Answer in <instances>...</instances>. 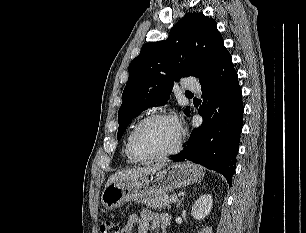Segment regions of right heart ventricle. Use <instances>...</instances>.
Wrapping results in <instances>:
<instances>
[{"instance_id": "1", "label": "right heart ventricle", "mask_w": 306, "mask_h": 233, "mask_svg": "<svg viewBox=\"0 0 306 233\" xmlns=\"http://www.w3.org/2000/svg\"><path fill=\"white\" fill-rule=\"evenodd\" d=\"M141 120H142V119H139L138 121H136V122L134 123V125L132 126V128H131V130H130V133L132 132V130L135 128V126H136ZM130 133H129V135H130ZM128 138H129V136H128ZM128 138H127L126 145H125V154H126V157H127V159H128V162H129V163H134L136 160H134V159L131 157V155H130V153H129V150H128Z\"/></svg>"}]
</instances>
